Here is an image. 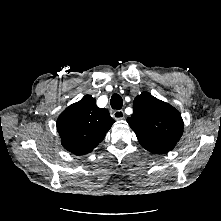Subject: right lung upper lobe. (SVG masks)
I'll use <instances>...</instances> for the list:
<instances>
[{
    "instance_id": "cb5924a9",
    "label": "right lung upper lobe",
    "mask_w": 221,
    "mask_h": 221,
    "mask_svg": "<svg viewBox=\"0 0 221 221\" xmlns=\"http://www.w3.org/2000/svg\"><path fill=\"white\" fill-rule=\"evenodd\" d=\"M113 123L108 110L98 108L96 100L87 95L61 113L57 131L65 149L75 155H84L102 142Z\"/></svg>"
}]
</instances>
